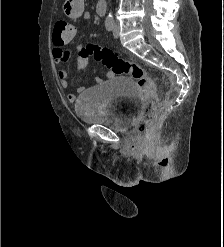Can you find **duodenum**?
Here are the masks:
<instances>
[{
	"label": "duodenum",
	"instance_id": "obj_1",
	"mask_svg": "<svg viewBox=\"0 0 224 247\" xmlns=\"http://www.w3.org/2000/svg\"><path fill=\"white\" fill-rule=\"evenodd\" d=\"M107 8V0H98L96 5V11L98 15H105Z\"/></svg>",
	"mask_w": 224,
	"mask_h": 247
}]
</instances>
